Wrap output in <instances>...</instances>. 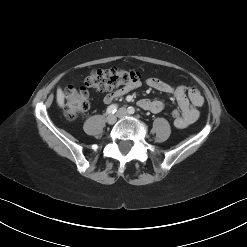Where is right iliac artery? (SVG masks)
Segmentation results:
<instances>
[{
	"mask_svg": "<svg viewBox=\"0 0 247 247\" xmlns=\"http://www.w3.org/2000/svg\"><path fill=\"white\" fill-rule=\"evenodd\" d=\"M117 111V105L112 104L107 108V114H114Z\"/></svg>",
	"mask_w": 247,
	"mask_h": 247,
	"instance_id": "1",
	"label": "right iliac artery"
}]
</instances>
